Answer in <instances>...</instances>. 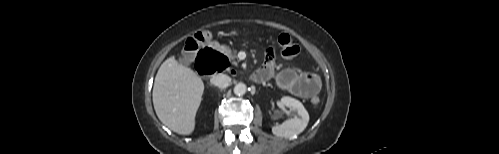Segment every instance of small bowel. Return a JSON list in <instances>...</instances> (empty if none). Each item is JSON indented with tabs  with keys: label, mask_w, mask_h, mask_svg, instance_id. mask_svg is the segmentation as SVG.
<instances>
[{
	"label": "small bowel",
	"mask_w": 499,
	"mask_h": 154,
	"mask_svg": "<svg viewBox=\"0 0 499 154\" xmlns=\"http://www.w3.org/2000/svg\"><path fill=\"white\" fill-rule=\"evenodd\" d=\"M274 69V53L269 49L266 62L258 70L263 77V81L273 77ZM276 83L281 89L301 98H312L316 96L321 89V80L318 75L314 73L299 72L292 68L279 72L276 75Z\"/></svg>",
	"instance_id": "small-bowel-1"
}]
</instances>
